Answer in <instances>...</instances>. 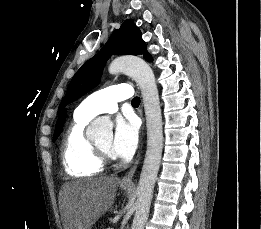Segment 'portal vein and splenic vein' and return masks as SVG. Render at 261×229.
<instances>
[{
	"label": "portal vein and splenic vein",
	"instance_id": "obj_1",
	"mask_svg": "<svg viewBox=\"0 0 261 229\" xmlns=\"http://www.w3.org/2000/svg\"><path fill=\"white\" fill-rule=\"evenodd\" d=\"M110 229H115V227H114V226H111Z\"/></svg>",
	"mask_w": 261,
	"mask_h": 229
}]
</instances>
